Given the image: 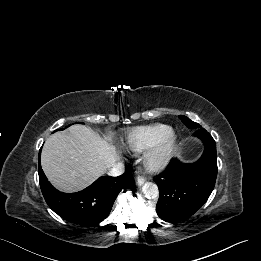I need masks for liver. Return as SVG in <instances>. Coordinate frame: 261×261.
I'll return each mask as SVG.
<instances>
[{
  "label": "liver",
  "instance_id": "6515ba94",
  "mask_svg": "<svg viewBox=\"0 0 261 261\" xmlns=\"http://www.w3.org/2000/svg\"><path fill=\"white\" fill-rule=\"evenodd\" d=\"M118 160L115 146L83 125L52 134L41 153L45 175L65 192L86 188Z\"/></svg>",
  "mask_w": 261,
  "mask_h": 261
}]
</instances>
